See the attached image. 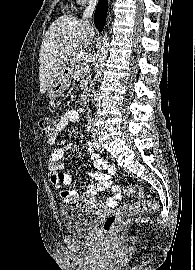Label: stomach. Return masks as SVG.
I'll use <instances>...</instances> for the list:
<instances>
[{
  "mask_svg": "<svg viewBox=\"0 0 195 270\" xmlns=\"http://www.w3.org/2000/svg\"><path fill=\"white\" fill-rule=\"evenodd\" d=\"M70 85V77L64 72L56 79L53 85L48 89L47 96L54 98L59 96Z\"/></svg>",
  "mask_w": 195,
  "mask_h": 270,
  "instance_id": "1",
  "label": "stomach"
}]
</instances>
